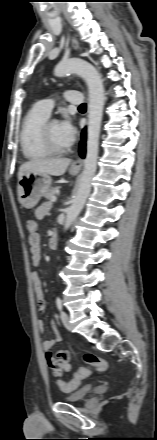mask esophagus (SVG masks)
Returning <instances> with one entry per match:
<instances>
[{"instance_id":"1","label":"esophagus","mask_w":157,"mask_h":440,"mask_svg":"<svg viewBox=\"0 0 157 440\" xmlns=\"http://www.w3.org/2000/svg\"><path fill=\"white\" fill-rule=\"evenodd\" d=\"M71 45L74 50H78L79 45H78L77 40L74 37L71 38ZM81 167H82V160L81 159L74 161L72 164V168L80 169Z\"/></svg>"}]
</instances>
